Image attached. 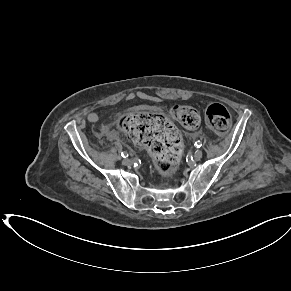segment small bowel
Wrapping results in <instances>:
<instances>
[{"label":"small bowel","instance_id":"small-bowel-1","mask_svg":"<svg viewBox=\"0 0 291 291\" xmlns=\"http://www.w3.org/2000/svg\"><path fill=\"white\" fill-rule=\"evenodd\" d=\"M134 95L137 98H141L144 97L143 95L140 94V92H135ZM88 120L92 123H97L99 121V116L98 114L94 113V112H90L87 116Z\"/></svg>","mask_w":291,"mask_h":291}]
</instances>
